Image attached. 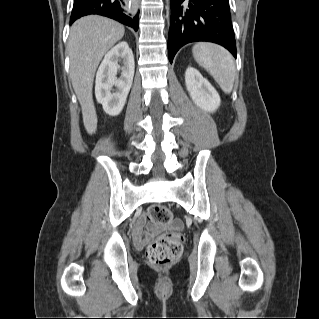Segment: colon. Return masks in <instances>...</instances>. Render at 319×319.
<instances>
[{"instance_id":"1","label":"colon","mask_w":319,"mask_h":319,"mask_svg":"<svg viewBox=\"0 0 319 319\" xmlns=\"http://www.w3.org/2000/svg\"><path fill=\"white\" fill-rule=\"evenodd\" d=\"M148 219L168 224L172 220V212L164 205L157 204L148 210ZM184 237L178 233H166L159 236L145 251L149 265L163 267L174 264L183 252Z\"/></svg>"}]
</instances>
